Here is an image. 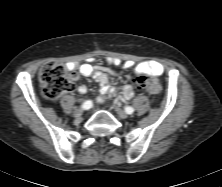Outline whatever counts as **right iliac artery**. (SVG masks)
Here are the masks:
<instances>
[{
    "label": "right iliac artery",
    "instance_id": "82829eb1",
    "mask_svg": "<svg viewBox=\"0 0 222 187\" xmlns=\"http://www.w3.org/2000/svg\"><path fill=\"white\" fill-rule=\"evenodd\" d=\"M92 102L91 101H85L83 104H82V108L85 109V110H88L92 107Z\"/></svg>",
    "mask_w": 222,
    "mask_h": 187
}]
</instances>
